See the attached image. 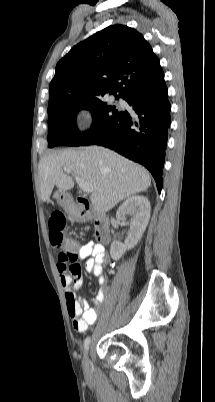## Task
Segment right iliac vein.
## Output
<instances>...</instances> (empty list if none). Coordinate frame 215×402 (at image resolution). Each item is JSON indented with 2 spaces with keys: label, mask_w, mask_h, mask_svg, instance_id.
Here are the masks:
<instances>
[{
  "label": "right iliac vein",
  "mask_w": 215,
  "mask_h": 402,
  "mask_svg": "<svg viewBox=\"0 0 215 402\" xmlns=\"http://www.w3.org/2000/svg\"><path fill=\"white\" fill-rule=\"evenodd\" d=\"M83 369L84 373L86 375L90 374V360L88 354L85 355L84 361H83Z\"/></svg>",
  "instance_id": "obj_1"
}]
</instances>
